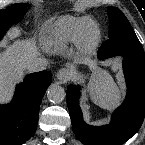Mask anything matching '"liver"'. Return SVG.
<instances>
[{
    "instance_id": "6515ba94",
    "label": "liver",
    "mask_w": 145,
    "mask_h": 145,
    "mask_svg": "<svg viewBox=\"0 0 145 145\" xmlns=\"http://www.w3.org/2000/svg\"><path fill=\"white\" fill-rule=\"evenodd\" d=\"M38 56L33 40H17L0 53V103L10 100L14 84L23 78L26 62ZM102 74L99 72L96 77Z\"/></svg>"
}]
</instances>
